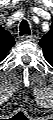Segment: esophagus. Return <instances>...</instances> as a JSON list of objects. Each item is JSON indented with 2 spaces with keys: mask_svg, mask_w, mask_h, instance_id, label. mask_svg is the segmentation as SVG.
Returning a JSON list of instances; mask_svg holds the SVG:
<instances>
[{
  "mask_svg": "<svg viewBox=\"0 0 53 120\" xmlns=\"http://www.w3.org/2000/svg\"><path fill=\"white\" fill-rule=\"evenodd\" d=\"M21 40L24 41H34L35 40V36L34 35H24L21 37Z\"/></svg>",
  "mask_w": 53,
  "mask_h": 120,
  "instance_id": "34e87169",
  "label": "esophagus"
}]
</instances>
